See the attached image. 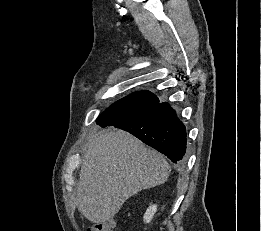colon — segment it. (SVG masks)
<instances>
[{"instance_id":"5ec220e1","label":"colon","mask_w":261,"mask_h":231,"mask_svg":"<svg viewBox=\"0 0 261 231\" xmlns=\"http://www.w3.org/2000/svg\"><path fill=\"white\" fill-rule=\"evenodd\" d=\"M114 227V219H105L98 223H95L90 229L91 231H112Z\"/></svg>"}]
</instances>
